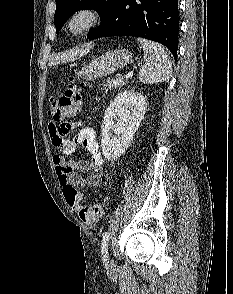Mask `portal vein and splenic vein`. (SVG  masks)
<instances>
[{
    "mask_svg": "<svg viewBox=\"0 0 233 294\" xmlns=\"http://www.w3.org/2000/svg\"><path fill=\"white\" fill-rule=\"evenodd\" d=\"M133 76V71L127 73L126 75L122 76L121 79H129Z\"/></svg>",
    "mask_w": 233,
    "mask_h": 294,
    "instance_id": "portal-vein-and-splenic-vein-1",
    "label": "portal vein and splenic vein"
}]
</instances>
